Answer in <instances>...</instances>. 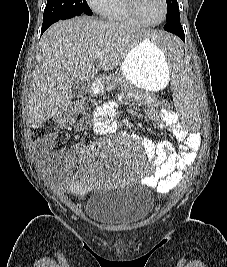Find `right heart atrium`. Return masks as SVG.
I'll list each match as a JSON object with an SVG mask.
<instances>
[{
	"mask_svg": "<svg viewBox=\"0 0 227 267\" xmlns=\"http://www.w3.org/2000/svg\"><path fill=\"white\" fill-rule=\"evenodd\" d=\"M87 3L94 9L97 10V8H99L105 0H86Z\"/></svg>",
	"mask_w": 227,
	"mask_h": 267,
	"instance_id": "obj_1",
	"label": "right heart atrium"
}]
</instances>
